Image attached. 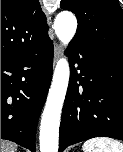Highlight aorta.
<instances>
[{"label": "aorta", "instance_id": "aorta-1", "mask_svg": "<svg viewBox=\"0 0 123 152\" xmlns=\"http://www.w3.org/2000/svg\"><path fill=\"white\" fill-rule=\"evenodd\" d=\"M54 29L59 40L67 46L77 29L76 17L71 12L57 15ZM70 77V68L65 57L58 60L40 125V151L58 152L59 126L62 107Z\"/></svg>", "mask_w": 123, "mask_h": 152}]
</instances>
